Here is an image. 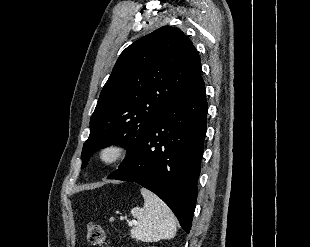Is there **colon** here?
I'll return each instance as SVG.
<instances>
[{"label": "colon", "instance_id": "5ec220e1", "mask_svg": "<svg viewBox=\"0 0 310 247\" xmlns=\"http://www.w3.org/2000/svg\"><path fill=\"white\" fill-rule=\"evenodd\" d=\"M87 240L96 247H105L107 238L103 227L98 223H89L87 227Z\"/></svg>", "mask_w": 310, "mask_h": 247}]
</instances>
